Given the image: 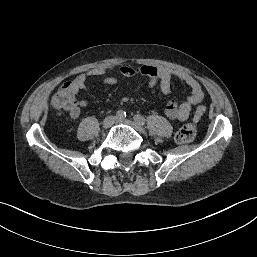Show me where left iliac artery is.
Here are the masks:
<instances>
[{
  "instance_id": "left-iliac-artery-1",
  "label": "left iliac artery",
  "mask_w": 257,
  "mask_h": 257,
  "mask_svg": "<svg viewBox=\"0 0 257 257\" xmlns=\"http://www.w3.org/2000/svg\"><path fill=\"white\" fill-rule=\"evenodd\" d=\"M134 120L141 125L145 124V118L139 114L134 116Z\"/></svg>"
}]
</instances>
